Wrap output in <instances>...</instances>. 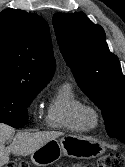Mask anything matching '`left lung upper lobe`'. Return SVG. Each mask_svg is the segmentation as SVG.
Masks as SVG:
<instances>
[{"label": "left lung upper lobe", "mask_w": 125, "mask_h": 167, "mask_svg": "<svg viewBox=\"0 0 125 167\" xmlns=\"http://www.w3.org/2000/svg\"><path fill=\"white\" fill-rule=\"evenodd\" d=\"M53 27L78 85L101 110L107 134L125 143V76L103 28L83 12L56 13Z\"/></svg>", "instance_id": "left-lung-upper-lobe-1"}]
</instances>
